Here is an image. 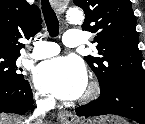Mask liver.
<instances>
[{
  "instance_id": "1",
  "label": "liver",
  "mask_w": 145,
  "mask_h": 124,
  "mask_svg": "<svg viewBox=\"0 0 145 124\" xmlns=\"http://www.w3.org/2000/svg\"><path fill=\"white\" fill-rule=\"evenodd\" d=\"M0 124H25V122L16 115L0 114Z\"/></svg>"
}]
</instances>
